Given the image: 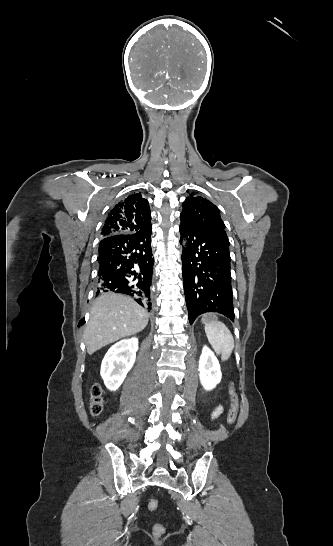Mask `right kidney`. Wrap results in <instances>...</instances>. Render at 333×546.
<instances>
[{
	"instance_id": "1",
	"label": "right kidney",
	"mask_w": 333,
	"mask_h": 546,
	"mask_svg": "<svg viewBox=\"0 0 333 546\" xmlns=\"http://www.w3.org/2000/svg\"><path fill=\"white\" fill-rule=\"evenodd\" d=\"M137 350L136 337L122 340L108 350L100 371L107 389L116 391L119 388L135 362Z\"/></svg>"
}]
</instances>
